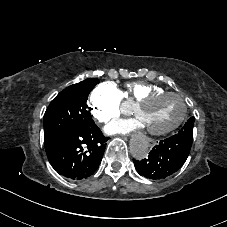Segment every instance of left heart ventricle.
Masks as SVG:
<instances>
[{
    "label": "left heart ventricle",
    "mask_w": 227,
    "mask_h": 227,
    "mask_svg": "<svg viewBox=\"0 0 227 227\" xmlns=\"http://www.w3.org/2000/svg\"><path fill=\"white\" fill-rule=\"evenodd\" d=\"M183 106L171 95L161 96L147 104L134 108L139 125L147 131H163L170 128L181 116Z\"/></svg>",
    "instance_id": "left-heart-ventricle-1"
}]
</instances>
